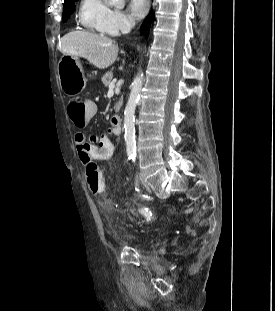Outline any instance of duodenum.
Instances as JSON below:
<instances>
[{"instance_id": "1", "label": "duodenum", "mask_w": 275, "mask_h": 311, "mask_svg": "<svg viewBox=\"0 0 275 311\" xmlns=\"http://www.w3.org/2000/svg\"><path fill=\"white\" fill-rule=\"evenodd\" d=\"M111 122L114 126L121 128V118L119 116H113Z\"/></svg>"}]
</instances>
